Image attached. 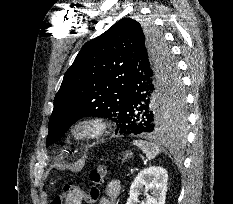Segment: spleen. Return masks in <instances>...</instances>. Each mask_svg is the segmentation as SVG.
I'll use <instances>...</instances> for the list:
<instances>
[{
    "instance_id": "1",
    "label": "spleen",
    "mask_w": 233,
    "mask_h": 204,
    "mask_svg": "<svg viewBox=\"0 0 233 204\" xmlns=\"http://www.w3.org/2000/svg\"><path fill=\"white\" fill-rule=\"evenodd\" d=\"M133 144L137 146L146 155L148 160L154 159L159 153H161V148L156 143H151L144 140H134ZM174 144H171L172 152L177 153L173 148Z\"/></svg>"
}]
</instances>
